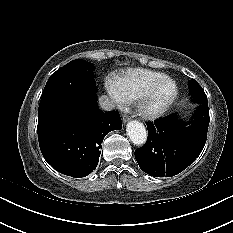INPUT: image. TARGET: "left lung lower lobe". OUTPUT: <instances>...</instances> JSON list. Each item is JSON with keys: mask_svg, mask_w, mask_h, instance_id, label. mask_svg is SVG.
<instances>
[{"mask_svg": "<svg viewBox=\"0 0 233 233\" xmlns=\"http://www.w3.org/2000/svg\"><path fill=\"white\" fill-rule=\"evenodd\" d=\"M209 126L208 102L200 103L186 122L176 114L147 123L146 144L135 150L140 168L153 177H171L186 169L201 153Z\"/></svg>", "mask_w": 233, "mask_h": 233, "instance_id": "0a47b994", "label": "left lung lower lobe"}]
</instances>
